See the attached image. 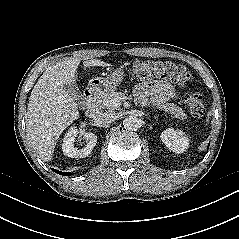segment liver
I'll use <instances>...</instances> for the list:
<instances>
[{"label": "liver", "instance_id": "6515ba94", "mask_svg": "<svg viewBox=\"0 0 239 239\" xmlns=\"http://www.w3.org/2000/svg\"><path fill=\"white\" fill-rule=\"evenodd\" d=\"M79 64L80 59L68 58L48 67L29 97L26 129L33 148L44 161L52 160L59 136L79 118L78 105L65 88L76 83ZM83 65L109 66L98 59L85 60Z\"/></svg>", "mask_w": 239, "mask_h": 239}]
</instances>
